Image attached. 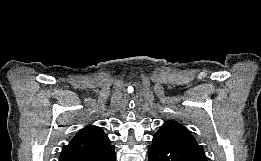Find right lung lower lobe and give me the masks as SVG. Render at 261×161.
I'll return each instance as SVG.
<instances>
[{
  "mask_svg": "<svg viewBox=\"0 0 261 161\" xmlns=\"http://www.w3.org/2000/svg\"><path fill=\"white\" fill-rule=\"evenodd\" d=\"M59 161H115L114 145L109 143L100 149L60 156Z\"/></svg>",
  "mask_w": 261,
  "mask_h": 161,
  "instance_id": "obj_1",
  "label": "right lung lower lobe"
}]
</instances>
